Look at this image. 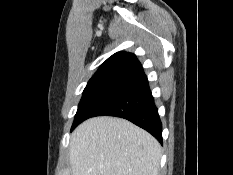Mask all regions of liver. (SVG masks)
I'll use <instances>...</instances> for the list:
<instances>
[{"mask_svg": "<svg viewBox=\"0 0 233 175\" xmlns=\"http://www.w3.org/2000/svg\"><path fill=\"white\" fill-rule=\"evenodd\" d=\"M161 156L152 135L122 118H90L70 139L71 175H159Z\"/></svg>", "mask_w": 233, "mask_h": 175, "instance_id": "liver-1", "label": "liver"}]
</instances>
